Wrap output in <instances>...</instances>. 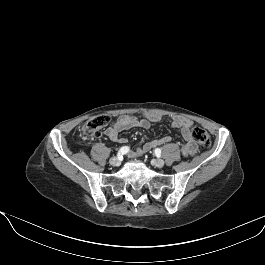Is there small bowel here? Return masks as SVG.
<instances>
[{"label":"small bowel","mask_w":265,"mask_h":265,"mask_svg":"<svg viewBox=\"0 0 265 265\" xmlns=\"http://www.w3.org/2000/svg\"><path fill=\"white\" fill-rule=\"evenodd\" d=\"M161 116L152 112H144L140 117L135 115H119L113 122L112 126L105 130V135L114 142L126 143L127 139L125 137L119 136V133L131 129V128H141L144 130H149L151 124L159 122ZM171 124L174 128L178 129L181 133L184 143L181 146L183 155L192 156L194 155L198 147L193 141L192 128L193 122L189 118L182 115H175L171 118ZM171 138L169 136H162L151 141L144 143L143 145L131 150L129 156L139 157L150 149L166 144L170 142Z\"/></svg>","instance_id":"c3829d8e"}]
</instances>
